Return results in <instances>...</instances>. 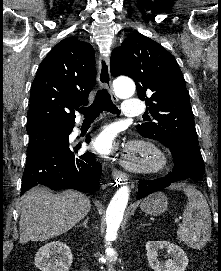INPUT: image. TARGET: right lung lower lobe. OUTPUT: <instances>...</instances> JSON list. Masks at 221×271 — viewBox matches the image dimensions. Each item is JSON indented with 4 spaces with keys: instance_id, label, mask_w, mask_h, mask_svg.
I'll list each match as a JSON object with an SVG mask.
<instances>
[{
    "instance_id": "right-lung-lower-lobe-1",
    "label": "right lung lower lobe",
    "mask_w": 221,
    "mask_h": 271,
    "mask_svg": "<svg viewBox=\"0 0 221 271\" xmlns=\"http://www.w3.org/2000/svg\"><path fill=\"white\" fill-rule=\"evenodd\" d=\"M90 138L86 139L89 142ZM79 146H52L27 154L22 178L21 194L34 186L51 190L75 189L93 192L99 188L101 164L93 153L76 156Z\"/></svg>"
}]
</instances>
